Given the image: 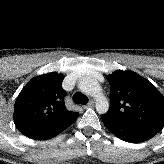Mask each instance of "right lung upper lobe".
Here are the masks:
<instances>
[{"label": "right lung upper lobe", "instance_id": "1", "mask_svg": "<svg viewBox=\"0 0 164 164\" xmlns=\"http://www.w3.org/2000/svg\"><path fill=\"white\" fill-rule=\"evenodd\" d=\"M63 79L62 74L47 73L33 78L21 90L14 106V122L22 134L30 136L79 115L65 106Z\"/></svg>", "mask_w": 164, "mask_h": 164}]
</instances>
